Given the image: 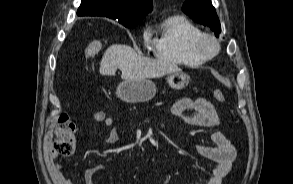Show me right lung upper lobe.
<instances>
[{
	"instance_id": "obj_1",
	"label": "right lung upper lobe",
	"mask_w": 293,
	"mask_h": 184,
	"mask_svg": "<svg viewBox=\"0 0 293 184\" xmlns=\"http://www.w3.org/2000/svg\"><path fill=\"white\" fill-rule=\"evenodd\" d=\"M152 7V0H82L77 15L101 16L125 23L142 21Z\"/></svg>"
}]
</instances>
